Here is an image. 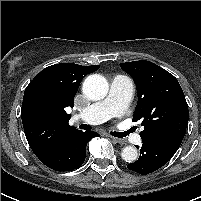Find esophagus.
Returning a JSON list of instances; mask_svg holds the SVG:
<instances>
[{
	"instance_id": "obj_1",
	"label": "esophagus",
	"mask_w": 201,
	"mask_h": 201,
	"mask_svg": "<svg viewBox=\"0 0 201 201\" xmlns=\"http://www.w3.org/2000/svg\"><path fill=\"white\" fill-rule=\"evenodd\" d=\"M111 138H112V140H114L115 142H117L119 144H124L125 143V141L123 139L112 137V136H111Z\"/></svg>"
}]
</instances>
